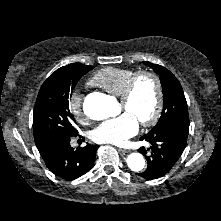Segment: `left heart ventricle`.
Segmentation results:
<instances>
[{"label":"left heart ventricle","mask_w":221,"mask_h":221,"mask_svg":"<svg viewBox=\"0 0 221 221\" xmlns=\"http://www.w3.org/2000/svg\"><path fill=\"white\" fill-rule=\"evenodd\" d=\"M156 88L154 81L149 77L137 80L131 99L127 103L119 102V112H127L138 121L148 119L155 108Z\"/></svg>","instance_id":"left-heart-ventricle-1"}]
</instances>
